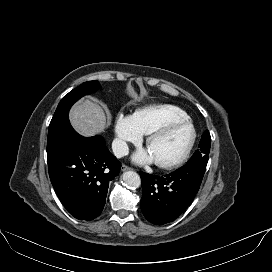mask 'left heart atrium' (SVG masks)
Listing matches in <instances>:
<instances>
[{"label":"left heart atrium","mask_w":272,"mask_h":272,"mask_svg":"<svg viewBox=\"0 0 272 272\" xmlns=\"http://www.w3.org/2000/svg\"><path fill=\"white\" fill-rule=\"evenodd\" d=\"M133 160L137 163H149L155 161L149 150H143L136 153Z\"/></svg>","instance_id":"1"}]
</instances>
